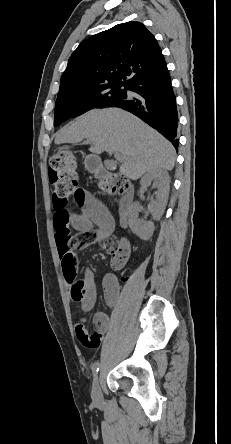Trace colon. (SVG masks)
Returning <instances> with one entry per match:
<instances>
[{
  "instance_id": "1",
  "label": "colon",
  "mask_w": 231,
  "mask_h": 444,
  "mask_svg": "<svg viewBox=\"0 0 231 444\" xmlns=\"http://www.w3.org/2000/svg\"><path fill=\"white\" fill-rule=\"evenodd\" d=\"M49 179L53 187V196L57 200H66L72 197L78 188L77 177L75 173V162L69 151H61L55 154L49 164ZM105 189L111 192H122L129 187V182L122 176L109 179L104 184ZM126 255L122 252L113 254L112 265L115 268L121 267L126 261ZM77 257L74 254H68L64 258L67 267L76 268ZM87 291L85 280L75 281L72 286V295L76 299L82 298Z\"/></svg>"
}]
</instances>
